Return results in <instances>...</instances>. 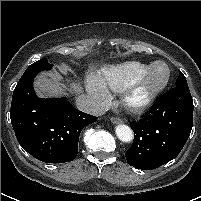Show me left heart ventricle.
Wrapping results in <instances>:
<instances>
[{"label": "left heart ventricle", "mask_w": 201, "mask_h": 201, "mask_svg": "<svg viewBox=\"0 0 201 201\" xmlns=\"http://www.w3.org/2000/svg\"><path fill=\"white\" fill-rule=\"evenodd\" d=\"M166 74L167 70L164 65H156L145 79L138 95H142L147 89L161 84L164 81Z\"/></svg>", "instance_id": "b2bd125f"}]
</instances>
